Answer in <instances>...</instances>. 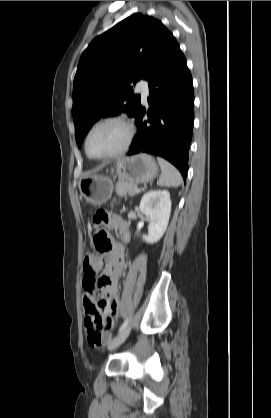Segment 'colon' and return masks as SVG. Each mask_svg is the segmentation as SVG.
I'll return each instance as SVG.
<instances>
[{
	"label": "colon",
	"instance_id": "colon-1",
	"mask_svg": "<svg viewBox=\"0 0 271 418\" xmlns=\"http://www.w3.org/2000/svg\"><path fill=\"white\" fill-rule=\"evenodd\" d=\"M106 220L104 214H98L95 217V222L101 224ZM94 245L98 252L104 253L110 251L112 248L111 241L108 239L104 231H99L94 237ZM105 304V301H100L98 306L102 307ZM85 326L87 330V339L88 343L93 348L101 347L105 342V332L107 326L101 316V314L96 309H92L87 312L85 316Z\"/></svg>",
	"mask_w": 271,
	"mask_h": 418
}]
</instances>
